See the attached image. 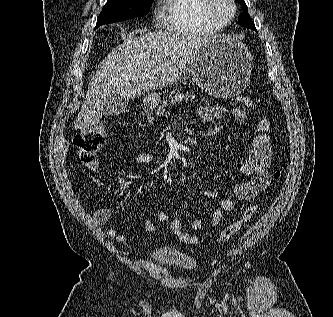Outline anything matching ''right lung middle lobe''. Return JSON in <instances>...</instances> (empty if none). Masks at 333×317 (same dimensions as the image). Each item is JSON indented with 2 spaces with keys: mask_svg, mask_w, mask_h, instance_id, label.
Wrapping results in <instances>:
<instances>
[{
  "mask_svg": "<svg viewBox=\"0 0 333 317\" xmlns=\"http://www.w3.org/2000/svg\"><path fill=\"white\" fill-rule=\"evenodd\" d=\"M153 0H108L100 13L96 27L140 17L147 14Z\"/></svg>",
  "mask_w": 333,
  "mask_h": 317,
  "instance_id": "1",
  "label": "right lung middle lobe"
}]
</instances>
